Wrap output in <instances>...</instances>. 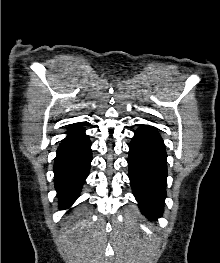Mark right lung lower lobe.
I'll use <instances>...</instances> for the list:
<instances>
[{
	"instance_id": "98d812e1",
	"label": "right lung lower lobe",
	"mask_w": 220,
	"mask_h": 263,
	"mask_svg": "<svg viewBox=\"0 0 220 263\" xmlns=\"http://www.w3.org/2000/svg\"><path fill=\"white\" fill-rule=\"evenodd\" d=\"M83 132L84 129L67 132L69 136L57 149L53 171L61 209L70 207L77 199L89 173L91 143Z\"/></svg>"
}]
</instances>
